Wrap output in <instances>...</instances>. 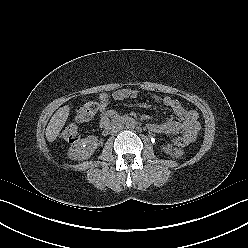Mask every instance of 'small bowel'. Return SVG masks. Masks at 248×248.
Segmentation results:
<instances>
[{"label":"small bowel","mask_w":248,"mask_h":248,"mask_svg":"<svg viewBox=\"0 0 248 248\" xmlns=\"http://www.w3.org/2000/svg\"><path fill=\"white\" fill-rule=\"evenodd\" d=\"M138 92L130 88H122L114 91L110 96L108 93H101L99 99V123L104 127L110 120L118 117L113 109H108V103L112 97L114 100L122 101L130 98H136ZM153 99L166 106L174 112L179 121L170 120L162 123L151 122L147 125L148 129L156 134L176 135L182 134L184 137L194 141L200 131L198 113L195 110L186 109L178 100L169 96H153Z\"/></svg>","instance_id":"1"}]
</instances>
